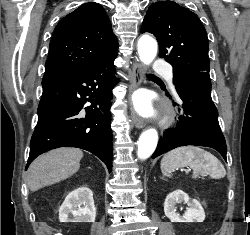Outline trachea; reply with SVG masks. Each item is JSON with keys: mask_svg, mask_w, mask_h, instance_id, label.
I'll return each instance as SVG.
<instances>
[{"mask_svg": "<svg viewBox=\"0 0 250 235\" xmlns=\"http://www.w3.org/2000/svg\"><path fill=\"white\" fill-rule=\"evenodd\" d=\"M148 76H149V77H155V76H154V75H152V74H148Z\"/></svg>", "mask_w": 250, "mask_h": 235, "instance_id": "trachea-1", "label": "trachea"}]
</instances>
